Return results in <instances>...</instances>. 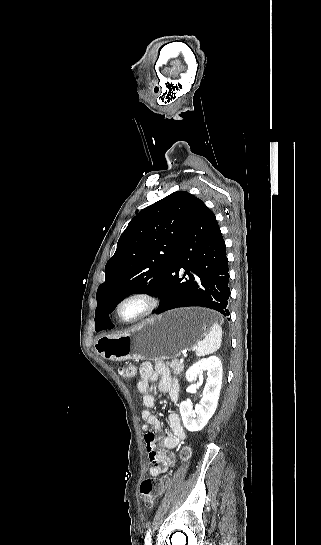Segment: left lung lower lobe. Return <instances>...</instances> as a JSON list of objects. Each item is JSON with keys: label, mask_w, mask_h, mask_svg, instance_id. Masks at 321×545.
Masks as SVG:
<instances>
[{"label": "left lung lower lobe", "mask_w": 321, "mask_h": 545, "mask_svg": "<svg viewBox=\"0 0 321 545\" xmlns=\"http://www.w3.org/2000/svg\"><path fill=\"white\" fill-rule=\"evenodd\" d=\"M225 249L214 213L201 202L180 238L170 269L156 294L161 301L155 313L201 306L229 316V269ZM181 268L186 271L182 278ZM113 327L109 323L105 329Z\"/></svg>", "instance_id": "1"}]
</instances>
